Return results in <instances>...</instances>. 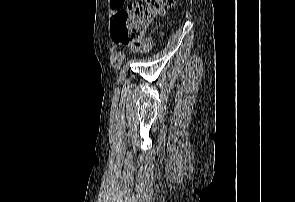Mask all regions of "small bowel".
I'll return each mask as SVG.
<instances>
[{"label": "small bowel", "instance_id": "obj_1", "mask_svg": "<svg viewBox=\"0 0 295 202\" xmlns=\"http://www.w3.org/2000/svg\"><path fill=\"white\" fill-rule=\"evenodd\" d=\"M126 0H110L111 15L115 19L117 14L125 8ZM150 42V40H148ZM131 48H133L131 46ZM134 49V48H133Z\"/></svg>", "mask_w": 295, "mask_h": 202}]
</instances>
